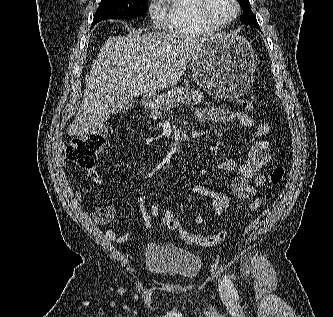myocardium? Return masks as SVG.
I'll return each mask as SVG.
<instances>
[{
    "label": "myocardium",
    "mask_w": 333,
    "mask_h": 317,
    "mask_svg": "<svg viewBox=\"0 0 333 317\" xmlns=\"http://www.w3.org/2000/svg\"><path fill=\"white\" fill-rule=\"evenodd\" d=\"M235 11L233 15L225 21H218L214 19L209 13V5L210 0H196V13L199 20L205 25L214 28V29H222L230 26L235 20L238 18L240 14V3L238 0H232Z\"/></svg>",
    "instance_id": "myocardium-1"
}]
</instances>
